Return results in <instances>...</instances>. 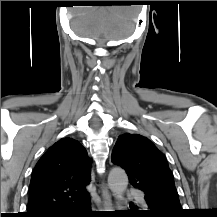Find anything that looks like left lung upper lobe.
Listing matches in <instances>:
<instances>
[{
	"label": "left lung upper lobe",
	"mask_w": 217,
	"mask_h": 217,
	"mask_svg": "<svg viewBox=\"0 0 217 217\" xmlns=\"http://www.w3.org/2000/svg\"><path fill=\"white\" fill-rule=\"evenodd\" d=\"M112 162L125 169L129 182L145 193L148 205L173 215L181 213L168 162L149 139L138 134L120 135L112 151Z\"/></svg>",
	"instance_id": "left-lung-upper-lobe-1"
}]
</instances>
